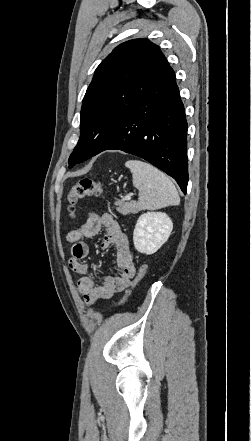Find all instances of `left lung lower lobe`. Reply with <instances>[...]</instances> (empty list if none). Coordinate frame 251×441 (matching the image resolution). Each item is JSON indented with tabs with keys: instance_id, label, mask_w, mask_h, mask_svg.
I'll use <instances>...</instances> for the list:
<instances>
[{
	"instance_id": "left-lung-lower-lobe-1",
	"label": "left lung lower lobe",
	"mask_w": 251,
	"mask_h": 441,
	"mask_svg": "<svg viewBox=\"0 0 251 441\" xmlns=\"http://www.w3.org/2000/svg\"><path fill=\"white\" fill-rule=\"evenodd\" d=\"M187 121L176 77L169 68L147 89L131 111L95 124L87 136V158L105 150L141 157L173 177L186 193Z\"/></svg>"
}]
</instances>
